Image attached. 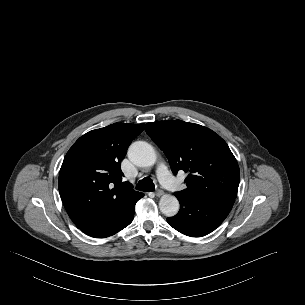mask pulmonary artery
Instances as JSON below:
<instances>
[{"mask_svg": "<svg viewBox=\"0 0 305 305\" xmlns=\"http://www.w3.org/2000/svg\"><path fill=\"white\" fill-rule=\"evenodd\" d=\"M156 173H157V176H158L160 182L164 186H166L168 188H172L176 185L174 178L172 177L167 166L164 163H161L158 165V167L156 169Z\"/></svg>", "mask_w": 305, "mask_h": 305, "instance_id": "obj_1", "label": "pulmonary artery"}]
</instances>
